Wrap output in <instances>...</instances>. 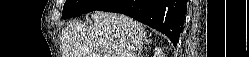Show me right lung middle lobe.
<instances>
[{
  "instance_id": "1",
  "label": "right lung middle lobe",
  "mask_w": 249,
  "mask_h": 57,
  "mask_svg": "<svg viewBox=\"0 0 249 57\" xmlns=\"http://www.w3.org/2000/svg\"><path fill=\"white\" fill-rule=\"evenodd\" d=\"M109 0H67L63 7L62 18L79 16L102 7Z\"/></svg>"
}]
</instances>
